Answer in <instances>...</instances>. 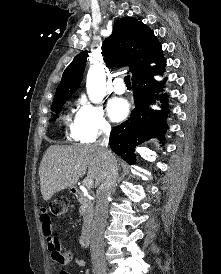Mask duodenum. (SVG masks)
Segmentation results:
<instances>
[{
	"instance_id": "duodenum-1",
	"label": "duodenum",
	"mask_w": 221,
	"mask_h": 274,
	"mask_svg": "<svg viewBox=\"0 0 221 274\" xmlns=\"http://www.w3.org/2000/svg\"><path fill=\"white\" fill-rule=\"evenodd\" d=\"M73 195L79 202H85L86 197L83 192L78 188L72 190ZM93 222V212L91 210L87 211L84 215V227L81 235L79 236V244L81 247H87L90 242V231Z\"/></svg>"
}]
</instances>
